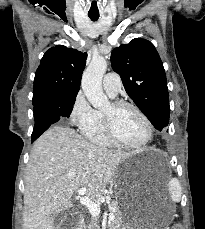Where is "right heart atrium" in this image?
Segmentation results:
<instances>
[{
  "label": "right heart atrium",
  "instance_id": "d8ad5b80",
  "mask_svg": "<svg viewBox=\"0 0 205 229\" xmlns=\"http://www.w3.org/2000/svg\"><path fill=\"white\" fill-rule=\"evenodd\" d=\"M95 118V110L91 107L82 91L77 92L69 111L70 122L80 130L88 127Z\"/></svg>",
  "mask_w": 205,
  "mask_h": 229
}]
</instances>
